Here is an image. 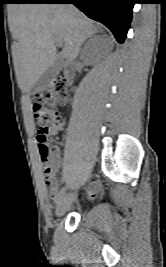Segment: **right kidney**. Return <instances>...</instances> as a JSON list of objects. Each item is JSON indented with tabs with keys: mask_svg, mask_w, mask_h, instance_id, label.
Wrapping results in <instances>:
<instances>
[{
	"mask_svg": "<svg viewBox=\"0 0 166 267\" xmlns=\"http://www.w3.org/2000/svg\"><path fill=\"white\" fill-rule=\"evenodd\" d=\"M98 46L99 44L98 43H95L93 41V39H91V43L88 45L87 49H86V55L87 56H92L94 57L96 54V51L98 50Z\"/></svg>",
	"mask_w": 166,
	"mask_h": 267,
	"instance_id": "right-kidney-1",
	"label": "right kidney"
}]
</instances>
